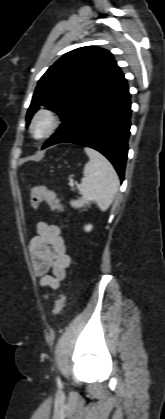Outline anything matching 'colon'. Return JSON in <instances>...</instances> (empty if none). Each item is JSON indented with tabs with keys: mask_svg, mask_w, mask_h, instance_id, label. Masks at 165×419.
<instances>
[{
	"mask_svg": "<svg viewBox=\"0 0 165 419\" xmlns=\"http://www.w3.org/2000/svg\"><path fill=\"white\" fill-rule=\"evenodd\" d=\"M30 201L33 208H37L41 203L47 204L53 211L60 212L61 205L59 204L55 194L45 187H34L30 194ZM65 305V295L60 293L56 299L54 306V314L61 313Z\"/></svg>",
	"mask_w": 165,
	"mask_h": 419,
	"instance_id": "obj_1",
	"label": "colon"
}]
</instances>
